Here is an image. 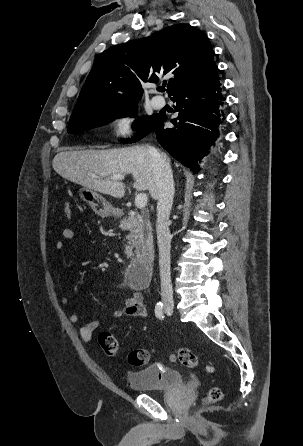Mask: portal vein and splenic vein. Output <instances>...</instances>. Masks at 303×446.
Masks as SVG:
<instances>
[{
    "mask_svg": "<svg viewBox=\"0 0 303 446\" xmlns=\"http://www.w3.org/2000/svg\"><path fill=\"white\" fill-rule=\"evenodd\" d=\"M110 179L112 180H123L124 176L123 175H113L110 177ZM147 205V196L145 193H139L136 198H135V206L138 209H143L145 208V206Z\"/></svg>",
    "mask_w": 303,
    "mask_h": 446,
    "instance_id": "18ae733b",
    "label": "portal vein and splenic vein"
}]
</instances>
